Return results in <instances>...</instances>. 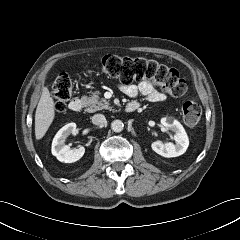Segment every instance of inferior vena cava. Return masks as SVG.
Segmentation results:
<instances>
[{
  "instance_id": "obj_1",
  "label": "inferior vena cava",
  "mask_w": 240,
  "mask_h": 240,
  "mask_svg": "<svg viewBox=\"0 0 240 240\" xmlns=\"http://www.w3.org/2000/svg\"><path fill=\"white\" fill-rule=\"evenodd\" d=\"M106 122V118L103 114H95L93 117H92V123L94 125H100V124H103Z\"/></svg>"
}]
</instances>
